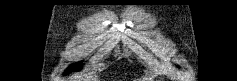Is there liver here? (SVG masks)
Listing matches in <instances>:
<instances>
[{
  "instance_id": "liver-1",
  "label": "liver",
  "mask_w": 237,
  "mask_h": 81,
  "mask_svg": "<svg viewBox=\"0 0 237 81\" xmlns=\"http://www.w3.org/2000/svg\"><path fill=\"white\" fill-rule=\"evenodd\" d=\"M75 79L76 80H74V81H89V80H87V79H89L88 77H77Z\"/></svg>"
}]
</instances>
